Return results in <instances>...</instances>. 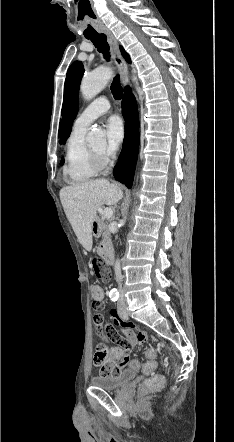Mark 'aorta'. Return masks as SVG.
Returning a JSON list of instances; mask_svg holds the SVG:
<instances>
[{
    "label": "aorta",
    "mask_w": 234,
    "mask_h": 442,
    "mask_svg": "<svg viewBox=\"0 0 234 442\" xmlns=\"http://www.w3.org/2000/svg\"><path fill=\"white\" fill-rule=\"evenodd\" d=\"M113 75L111 68H99L91 73L86 74L80 85V91L86 100L94 98L100 93ZM103 133L99 129H93L88 133L87 139L90 143L95 142L97 139L102 138Z\"/></svg>",
    "instance_id": "1"
}]
</instances>
